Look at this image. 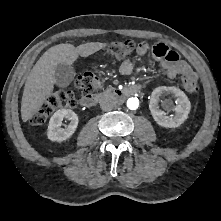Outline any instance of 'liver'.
Instances as JSON below:
<instances>
[{
	"instance_id": "liver-1",
	"label": "liver",
	"mask_w": 221,
	"mask_h": 221,
	"mask_svg": "<svg viewBox=\"0 0 221 221\" xmlns=\"http://www.w3.org/2000/svg\"><path fill=\"white\" fill-rule=\"evenodd\" d=\"M106 46L107 43L90 42L77 47L65 43L49 48L36 62L26 80L21 102L23 122L31 119L45 99L52 94L58 63L71 65L79 56L87 57Z\"/></svg>"
}]
</instances>
